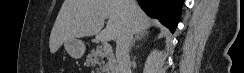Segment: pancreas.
I'll return each mask as SVG.
<instances>
[{
  "label": "pancreas",
  "instance_id": "obj_1",
  "mask_svg": "<svg viewBox=\"0 0 244 73\" xmlns=\"http://www.w3.org/2000/svg\"><path fill=\"white\" fill-rule=\"evenodd\" d=\"M104 58L107 59L106 68L110 70V73H116L117 63L113 52L105 53L103 48L93 49L86 57V64L88 66H101V64H104Z\"/></svg>",
  "mask_w": 244,
  "mask_h": 73
}]
</instances>
